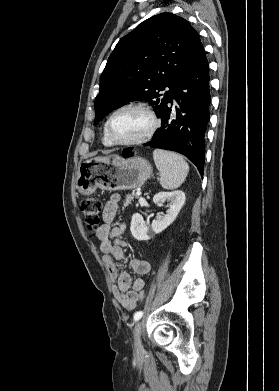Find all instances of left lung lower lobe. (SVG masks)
<instances>
[{"label": "left lung lower lobe", "instance_id": "left-lung-lower-lobe-1", "mask_svg": "<svg viewBox=\"0 0 279 391\" xmlns=\"http://www.w3.org/2000/svg\"><path fill=\"white\" fill-rule=\"evenodd\" d=\"M209 68L204 49L195 64L174 88L166 108L160 115L161 128L146 143L161 149L179 152L189 158L201 175L204 170L205 132L210 120ZM179 105L172 114V99ZM127 157L130 154L123 152Z\"/></svg>", "mask_w": 279, "mask_h": 391}]
</instances>
